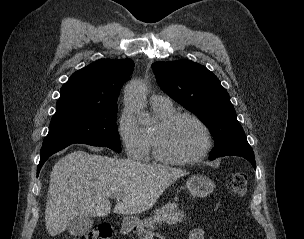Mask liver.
<instances>
[{"mask_svg":"<svg viewBox=\"0 0 304 239\" xmlns=\"http://www.w3.org/2000/svg\"><path fill=\"white\" fill-rule=\"evenodd\" d=\"M187 171L116 159L78 150L52 168L45 209L51 236L65 231L78 216L103 217L110 213L109 198L122 193L114 213L134 215L153 207L163 191Z\"/></svg>","mask_w":304,"mask_h":239,"instance_id":"1","label":"liver"}]
</instances>
